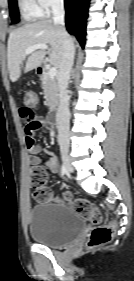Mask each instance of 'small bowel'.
I'll return each mask as SVG.
<instances>
[{
	"instance_id": "c3829d8e",
	"label": "small bowel",
	"mask_w": 134,
	"mask_h": 281,
	"mask_svg": "<svg viewBox=\"0 0 134 281\" xmlns=\"http://www.w3.org/2000/svg\"><path fill=\"white\" fill-rule=\"evenodd\" d=\"M20 116L24 122L25 128V143L29 152V164L32 168L38 166L46 167L53 174L59 172L58 158L54 152L46 150L48 158L43 162L41 157L38 155L40 147L35 144L36 131L41 127L46 126V122L39 116L35 115L32 108L22 106L19 110ZM53 133V130L51 129Z\"/></svg>"
}]
</instances>
